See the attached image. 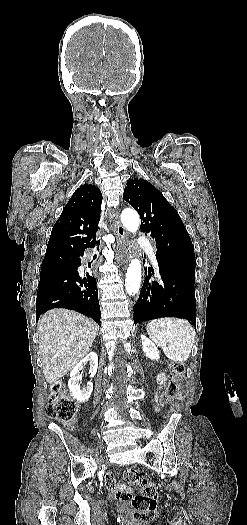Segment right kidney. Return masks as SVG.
Wrapping results in <instances>:
<instances>
[{
  "mask_svg": "<svg viewBox=\"0 0 247 525\" xmlns=\"http://www.w3.org/2000/svg\"><path fill=\"white\" fill-rule=\"evenodd\" d=\"M86 363L90 365V377H95L98 369V357L96 353L86 355L70 373V379L68 381L69 391H71L74 399H76L78 403H87L93 391V383H87V387H80V381H82L80 371H83Z\"/></svg>",
  "mask_w": 247,
  "mask_h": 525,
  "instance_id": "1",
  "label": "right kidney"
}]
</instances>
